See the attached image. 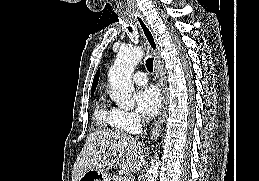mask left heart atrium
<instances>
[{"label": "left heart atrium", "mask_w": 259, "mask_h": 181, "mask_svg": "<svg viewBox=\"0 0 259 181\" xmlns=\"http://www.w3.org/2000/svg\"><path fill=\"white\" fill-rule=\"evenodd\" d=\"M136 106L145 117L155 116L162 102V96L156 86H145L136 92L134 96Z\"/></svg>", "instance_id": "1"}]
</instances>
